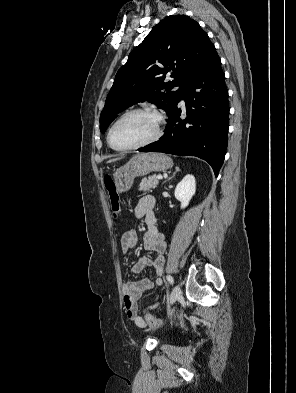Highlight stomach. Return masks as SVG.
<instances>
[{"mask_svg":"<svg viewBox=\"0 0 296 393\" xmlns=\"http://www.w3.org/2000/svg\"><path fill=\"white\" fill-rule=\"evenodd\" d=\"M173 165L172 159L162 153H142L133 156L128 163L114 173L117 191H128L135 177H142L151 172L164 171Z\"/></svg>","mask_w":296,"mask_h":393,"instance_id":"stomach-1","label":"stomach"}]
</instances>
